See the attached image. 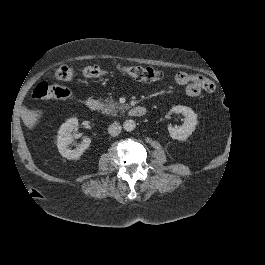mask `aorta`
<instances>
[{
    "instance_id": "aorta-1",
    "label": "aorta",
    "mask_w": 265,
    "mask_h": 265,
    "mask_svg": "<svg viewBox=\"0 0 265 265\" xmlns=\"http://www.w3.org/2000/svg\"><path fill=\"white\" fill-rule=\"evenodd\" d=\"M135 122L133 120H125L123 123V128L127 132H131L135 129Z\"/></svg>"
}]
</instances>
